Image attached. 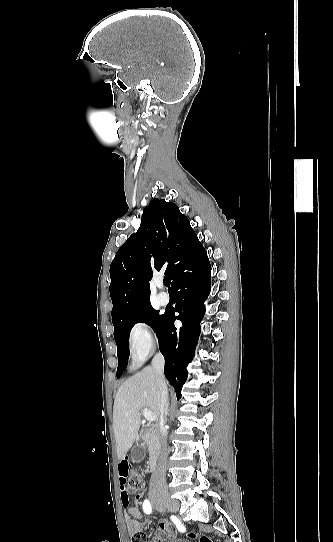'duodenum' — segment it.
<instances>
[{
  "label": "duodenum",
  "instance_id": "410a0bca",
  "mask_svg": "<svg viewBox=\"0 0 333 542\" xmlns=\"http://www.w3.org/2000/svg\"><path fill=\"white\" fill-rule=\"evenodd\" d=\"M143 441L150 447V458L148 468L151 472L156 471L161 453V444L158 437L154 434H149L144 437Z\"/></svg>",
  "mask_w": 333,
  "mask_h": 542
}]
</instances>
